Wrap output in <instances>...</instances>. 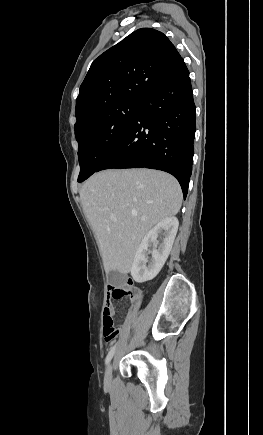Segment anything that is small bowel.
<instances>
[{
  "instance_id": "1",
  "label": "small bowel",
  "mask_w": 263,
  "mask_h": 435,
  "mask_svg": "<svg viewBox=\"0 0 263 435\" xmlns=\"http://www.w3.org/2000/svg\"><path fill=\"white\" fill-rule=\"evenodd\" d=\"M109 311L113 313L112 299L110 297H108L107 300L105 301L103 314Z\"/></svg>"
}]
</instances>
